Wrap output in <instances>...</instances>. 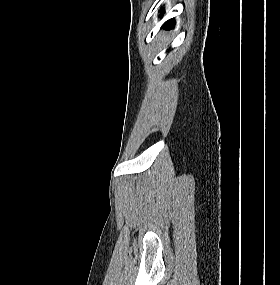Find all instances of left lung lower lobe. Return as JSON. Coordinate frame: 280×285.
I'll use <instances>...</instances> for the list:
<instances>
[{
  "label": "left lung lower lobe",
  "mask_w": 280,
  "mask_h": 285,
  "mask_svg": "<svg viewBox=\"0 0 280 285\" xmlns=\"http://www.w3.org/2000/svg\"><path fill=\"white\" fill-rule=\"evenodd\" d=\"M174 20L171 19V20H168L164 25H163V28L165 29H172L173 26H174Z\"/></svg>",
  "instance_id": "1"
}]
</instances>
